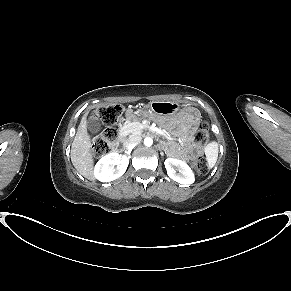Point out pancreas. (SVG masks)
Returning <instances> with one entry per match:
<instances>
[{"label": "pancreas", "mask_w": 291, "mask_h": 291, "mask_svg": "<svg viewBox=\"0 0 291 291\" xmlns=\"http://www.w3.org/2000/svg\"><path fill=\"white\" fill-rule=\"evenodd\" d=\"M131 129L134 134H141L143 126L139 122H134L131 124Z\"/></svg>", "instance_id": "cf45deb5"}]
</instances>
